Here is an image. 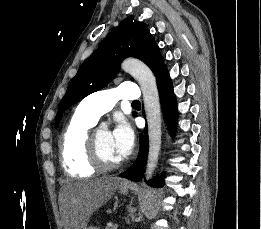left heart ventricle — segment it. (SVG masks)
<instances>
[{
    "mask_svg": "<svg viewBox=\"0 0 261 229\" xmlns=\"http://www.w3.org/2000/svg\"><path fill=\"white\" fill-rule=\"evenodd\" d=\"M98 138L101 152L108 161L114 162L121 160L115 152L110 132L107 130L100 131Z\"/></svg>",
    "mask_w": 261,
    "mask_h": 229,
    "instance_id": "obj_1",
    "label": "left heart ventricle"
}]
</instances>
